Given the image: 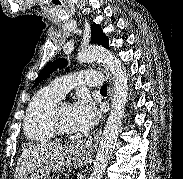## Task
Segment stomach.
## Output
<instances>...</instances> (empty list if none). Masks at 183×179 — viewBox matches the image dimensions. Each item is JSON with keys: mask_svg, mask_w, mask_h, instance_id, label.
Listing matches in <instances>:
<instances>
[{"mask_svg": "<svg viewBox=\"0 0 183 179\" xmlns=\"http://www.w3.org/2000/svg\"><path fill=\"white\" fill-rule=\"evenodd\" d=\"M89 158V150L79 144H68L42 166L34 170L26 179H51L50 173L67 166H83Z\"/></svg>", "mask_w": 183, "mask_h": 179, "instance_id": "stomach-1", "label": "stomach"}]
</instances>
